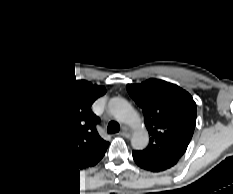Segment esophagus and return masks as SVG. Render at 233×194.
I'll use <instances>...</instances> for the list:
<instances>
[{
    "label": "esophagus",
    "mask_w": 233,
    "mask_h": 194,
    "mask_svg": "<svg viewBox=\"0 0 233 194\" xmlns=\"http://www.w3.org/2000/svg\"><path fill=\"white\" fill-rule=\"evenodd\" d=\"M124 135H125V137H127V138L130 137V133H128L127 130L124 131Z\"/></svg>",
    "instance_id": "esophagus-1"
}]
</instances>
